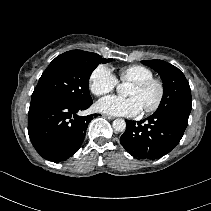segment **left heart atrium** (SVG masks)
<instances>
[{
    "mask_svg": "<svg viewBox=\"0 0 211 211\" xmlns=\"http://www.w3.org/2000/svg\"><path fill=\"white\" fill-rule=\"evenodd\" d=\"M96 108L110 115L129 117L137 115L143 109L137 98L120 96L105 97L97 102Z\"/></svg>",
    "mask_w": 211,
    "mask_h": 211,
    "instance_id": "left-heart-atrium-1",
    "label": "left heart atrium"
}]
</instances>
